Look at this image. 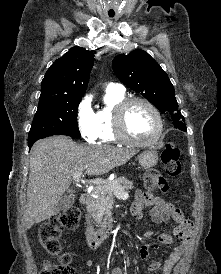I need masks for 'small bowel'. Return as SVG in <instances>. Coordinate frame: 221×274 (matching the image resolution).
<instances>
[{
	"instance_id": "small-bowel-1",
	"label": "small bowel",
	"mask_w": 221,
	"mask_h": 274,
	"mask_svg": "<svg viewBox=\"0 0 221 274\" xmlns=\"http://www.w3.org/2000/svg\"><path fill=\"white\" fill-rule=\"evenodd\" d=\"M151 207V217L154 223L160 224L172 219L176 226L174 228V236L168 233H162L157 238L158 244H172L175 240L177 245L169 253L163 264L158 261H153L149 264L148 270L150 272L157 271L161 268V274H171L175 264L179 261L185 251L186 245L191 238V223L185 219L183 213L172 203L166 202L160 197H155L147 192L137 191L135 200L131 206V214L136 219L143 217L144 207ZM149 244H143L140 248L139 254L141 259H145L148 255ZM88 265L92 262L88 261ZM111 274H124L122 268L115 267Z\"/></svg>"
}]
</instances>
